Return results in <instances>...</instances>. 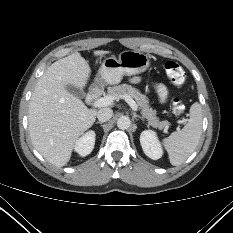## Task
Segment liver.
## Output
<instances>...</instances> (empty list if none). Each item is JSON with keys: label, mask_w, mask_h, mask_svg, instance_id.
<instances>
[{"label": "liver", "mask_w": 233, "mask_h": 233, "mask_svg": "<svg viewBox=\"0 0 233 233\" xmlns=\"http://www.w3.org/2000/svg\"><path fill=\"white\" fill-rule=\"evenodd\" d=\"M109 51L96 50L95 56ZM88 63L76 52L54 62L39 78L31 96L28 127L36 150L51 164L65 166L75 143L95 122L97 111L88 109L68 90L83 89L90 78Z\"/></svg>", "instance_id": "6515ba94"}]
</instances>
